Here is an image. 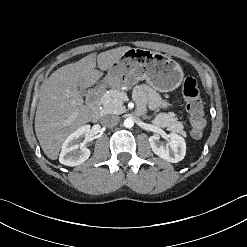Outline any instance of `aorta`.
Segmentation results:
<instances>
[{
	"mask_svg": "<svg viewBox=\"0 0 247 247\" xmlns=\"http://www.w3.org/2000/svg\"><path fill=\"white\" fill-rule=\"evenodd\" d=\"M124 126H125L126 128H132V127L134 126V121H133V119H132V118H126V119L124 120Z\"/></svg>",
	"mask_w": 247,
	"mask_h": 247,
	"instance_id": "1",
	"label": "aorta"
}]
</instances>
